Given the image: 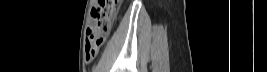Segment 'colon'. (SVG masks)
I'll list each match as a JSON object with an SVG mask.
<instances>
[{
    "mask_svg": "<svg viewBox=\"0 0 267 72\" xmlns=\"http://www.w3.org/2000/svg\"><path fill=\"white\" fill-rule=\"evenodd\" d=\"M119 0H98L93 8L94 24L87 30V52L96 54L104 44L111 30L113 20L118 12Z\"/></svg>",
    "mask_w": 267,
    "mask_h": 72,
    "instance_id": "5ec220e1",
    "label": "colon"
}]
</instances>
